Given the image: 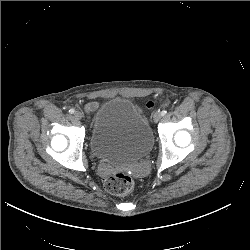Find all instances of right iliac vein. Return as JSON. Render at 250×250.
<instances>
[{
    "label": "right iliac vein",
    "mask_w": 250,
    "mask_h": 250,
    "mask_svg": "<svg viewBox=\"0 0 250 250\" xmlns=\"http://www.w3.org/2000/svg\"><path fill=\"white\" fill-rule=\"evenodd\" d=\"M82 117H83V114H82L81 112L76 111V112L74 113V118H75L76 120H81Z\"/></svg>",
    "instance_id": "1"
}]
</instances>
